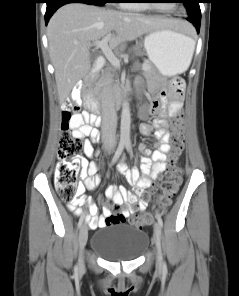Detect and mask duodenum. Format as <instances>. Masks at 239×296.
<instances>
[{
  "label": "duodenum",
  "mask_w": 239,
  "mask_h": 296,
  "mask_svg": "<svg viewBox=\"0 0 239 296\" xmlns=\"http://www.w3.org/2000/svg\"><path fill=\"white\" fill-rule=\"evenodd\" d=\"M103 64H104V58L101 55L97 56L94 67H93L92 76L85 82V84L78 83L75 86V89L73 92L74 97L79 98L78 95L84 91V98H83L84 105L87 109L91 110L94 113H98L99 106L97 101L94 98L93 82L97 74L99 73L100 69L102 68ZM124 99H125L124 96H121L118 100V103L121 104L124 101ZM95 117L96 119H95L94 125L99 127L101 125V119L97 116Z\"/></svg>",
  "instance_id": "410a0bca"
}]
</instances>
